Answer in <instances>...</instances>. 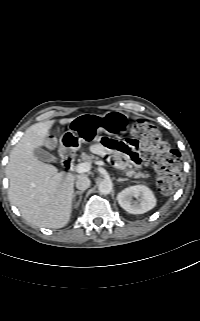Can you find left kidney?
<instances>
[{
    "label": "left kidney",
    "instance_id": "obj_1",
    "mask_svg": "<svg viewBox=\"0 0 200 321\" xmlns=\"http://www.w3.org/2000/svg\"><path fill=\"white\" fill-rule=\"evenodd\" d=\"M133 197L137 200L134 201ZM119 205L131 214H143L156 205L153 192L145 185L125 188L117 195Z\"/></svg>",
    "mask_w": 200,
    "mask_h": 321
}]
</instances>
